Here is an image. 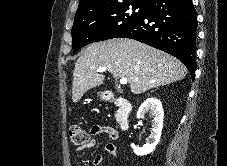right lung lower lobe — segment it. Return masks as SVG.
Here are the masks:
<instances>
[{"mask_svg":"<svg viewBox=\"0 0 227 166\" xmlns=\"http://www.w3.org/2000/svg\"><path fill=\"white\" fill-rule=\"evenodd\" d=\"M143 17L117 37H126L177 57L195 75L197 18L192 0H151Z\"/></svg>","mask_w":227,"mask_h":166,"instance_id":"1","label":"right lung lower lobe"}]
</instances>
